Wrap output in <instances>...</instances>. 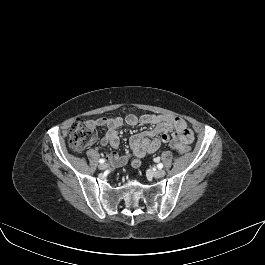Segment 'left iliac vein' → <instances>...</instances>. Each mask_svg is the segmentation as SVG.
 Here are the masks:
<instances>
[{
  "instance_id": "1",
  "label": "left iliac vein",
  "mask_w": 265,
  "mask_h": 265,
  "mask_svg": "<svg viewBox=\"0 0 265 265\" xmlns=\"http://www.w3.org/2000/svg\"><path fill=\"white\" fill-rule=\"evenodd\" d=\"M152 176H154L155 178H161L165 176V171L158 169V170H154L152 171Z\"/></svg>"
}]
</instances>
